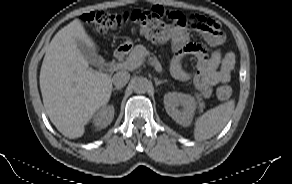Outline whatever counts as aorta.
I'll return each mask as SVG.
<instances>
[{
	"instance_id": "aorta-1",
	"label": "aorta",
	"mask_w": 292,
	"mask_h": 184,
	"mask_svg": "<svg viewBox=\"0 0 292 184\" xmlns=\"http://www.w3.org/2000/svg\"><path fill=\"white\" fill-rule=\"evenodd\" d=\"M150 82L145 77H137L132 82V87L136 93H145L150 88Z\"/></svg>"
}]
</instances>
